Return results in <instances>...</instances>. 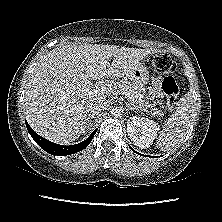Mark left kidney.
Wrapping results in <instances>:
<instances>
[{"label":"left kidney","instance_id":"5707ae66","mask_svg":"<svg viewBox=\"0 0 222 222\" xmlns=\"http://www.w3.org/2000/svg\"><path fill=\"white\" fill-rule=\"evenodd\" d=\"M159 125L153 120L143 117H129L127 120V132L135 146L149 148L157 136Z\"/></svg>","mask_w":222,"mask_h":222}]
</instances>
